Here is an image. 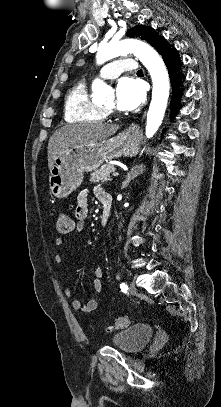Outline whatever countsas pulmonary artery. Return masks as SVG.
I'll return each mask as SVG.
<instances>
[{
    "label": "pulmonary artery",
    "mask_w": 221,
    "mask_h": 407,
    "mask_svg": "<svg viewBox=\"0 0 221 407\" xmlns=\"http://www.w3.org/2000/svg\"><path fill=\"white\" fill-rule=\"evenodd\" d=\"M137 68L138 63L135 59L121 56L104 65L100 75L103 78H115L121 73L134 74Z\"/></svg>",
    "instance_id": "obj_1"
}]
</instances>
